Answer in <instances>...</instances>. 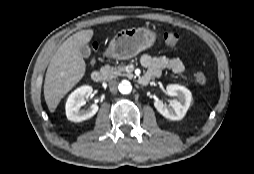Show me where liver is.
Wrapping results in <instances>:
<instances>
[{"label":"liver","instance_id":"obj_1","mask_svg":"<svg viewBox=\"0 0 254 174\" xmlns=\"http://www.w3.org/2000/svg\"><path fill=\"white\" fill-rule=\"evenodd\" d=\"M93 34L92 29L73 34L51 58L44 81V97L50 112L56 110L61 99L83 78L86 63L80 47L87 45Z\"/></svg>","mask_w":254,"mask_h":174}]
</instances>
